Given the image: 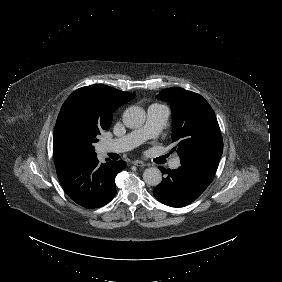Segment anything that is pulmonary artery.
I'll return each mask as SVG.
<instances>
[{
	"label": "pulmonary artery",
	"instance_id": "1",
	"mask_svg": "<svg viewBox=\"0 0 282 282\" xmlns=\"http://www.w3.org/2000/svg\"><path fill=\"white\" fill-rule=\"evenodd\" d=\"M170 115V109L166 105L152 104L147 110V120L145 124L123 137L105 142L106 152H124L133 149L145 140L155 137L164 127ZM180 160L175 159L171 167L177 168Z\"/></svg>",
	"mask_w": 282,
	"mask_h": 282
}]
</instances>
